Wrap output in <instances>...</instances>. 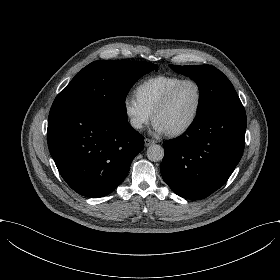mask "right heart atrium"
<instances>
[{
  "label": "right heart atrium",
  "mask_w": 280,
  "mask_h": 280,
  "mask_svg": "<svg viewBox=\"0 0 280 280\" xmlns=\"http://www.w3.org/2000/svg\"><path fill=\"white\" fill-rule=\"evenodd\" d=\"M123 110L129 125L136 131H141L153 117V113L134 95L124 99Z\"/></svg>",
  "instance_id": "1"
}]
</instances>
